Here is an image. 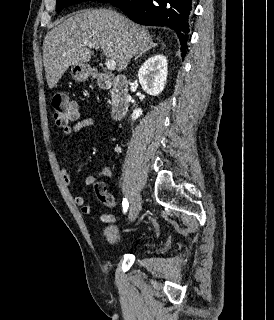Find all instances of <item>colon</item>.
Segmentation results:
<instances>
[{"label":"colon","instance_id":"1","mask_svg":"<svg viewBox=\"0 0 274 320\" xmlns=\"http://www.w3.org/2000/svg\"><path fill=\"white\" fill-rule=\"evenodd\" d=\"M53 120L62 127H72V125L79 119L78 106L71 102L65 92H58L52 98ZM93 187L96 193H103L101 201L104 205L114 207L115 204L111 196L106 193L105 182H94Z\"/></svg>","mask_w":274,"mask_h":320}]
</instances>
